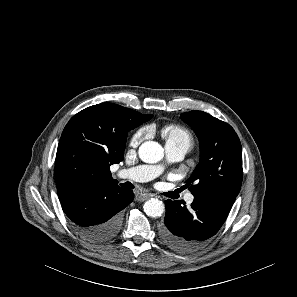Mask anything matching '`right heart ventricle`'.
I'll use <instances>...</instances> for the list:
<instances>
[{
    "instance_id": "obj_1",
    "label": "right heart ventricle",
    "mask_w": 297,
    "mask_h": 297,
    "mask_svg": "<svg viewBox=\"0 0 297 297\" xmlns=\"http://www.w3.org/2000/svg\"><path fill=\"white\" fill-rule=\"evenodd\" d=\"M162 136L166 144H181L185 143L189 146L193 143L191 133L184 127L179 125H167L162 129Z\"/></svg>"
}]
</instances>
